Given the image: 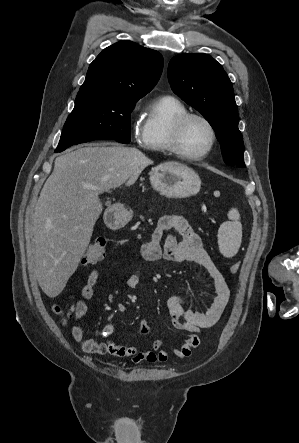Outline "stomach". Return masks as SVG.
I'll return each mask as SVG.
<instances>
[{
	"mask_svg": "<svg viewBox=\"0 0 299 443\" xmlns=\"http://www.w3.org/2000/svg\"><path fill=\"white\" fill-rule=\"evenodd\" d=\"M150 182L156 191L168 198H186L197 194L201 187V180L194 170L174 162L153 168ZM128 221L126 212L118 209L109 224L113 228H121Z\"/></svg>",
	"mask_w": 299,
	"mask_h": 443,
	"instance_id": "1",
	"label": "stomach"
}]
</instances>
